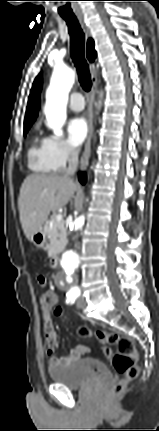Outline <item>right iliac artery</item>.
Returning a JSON list of instances; mask_svg holds the SVG:
<instances>
[{
    "mask_svg": "<svg viewBox=\"0 0 159 431\" xmlns=\"http://www.w3.org/2000/svg\"><path fill=\"white\" fill-rule=\"evenodd\" d=\"M79 289L78 288H72L68 291L67 293V302L68 303H73L75 301V299L77 298L78 294H79Z\"/></svg>",
    "mask_w": 159,
    "mask_h": 431,
    "instance_id": "1",
    "label": "right iliac artery"
}]
</instances>
